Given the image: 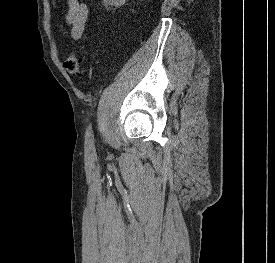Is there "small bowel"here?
Returning a JSON list of instances; mask_svg holds the SVG:
<instances>
[{
  "mask_svg": "<svg viewBox=\"0 0 275 263\" xmlns=\"http://www.w3.org/2000/svg\"><path fill=\"white\" fill-rule=\"evenodd\" d=\"M88 19V8L80 0H68V10L66 13V23L71 29L74 40H79L85 30Z\"/></svg>",
  "mask_w": 275,
  "mask_h": 263,
  "instance_id": "small-bowel-1",
  "label": "small bowel"
}]
</instances>
